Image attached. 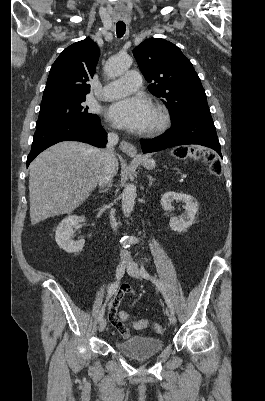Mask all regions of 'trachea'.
Masks as SVG:
<instances>
[{
    "instance_id": "obj_1",
    "label": "trachea",
    "mask_w": 265,
    "mask_h": 401,
    "mask_svg": "<svg viewBox=\"0 0 265 401\" xmlns=\"http://www.w3.org/2000/svg\"><path fill=\"white\" fill-rule=\"evenodd\" d=\"M116 31H117V37H118V38H121V37L125 34V31H126V25H125V23H123V22H118V23L116 24Z\"/></svg>"
}]
</instances>
